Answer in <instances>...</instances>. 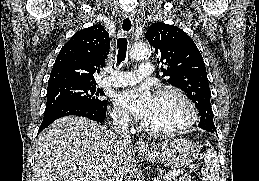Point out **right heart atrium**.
Masks as SVG:
<instances>
[{"mask_svg": "<svg viewBox=\"0 0 259 181\" xmlns=\"http://www.w3.org/2000/svg\"><path fill=\"white\" fill-rule=\"evenodd\" d=\"M113 119L116 124L124 127L129 126L131 123L130 117L120 110H115L113 112Z\"/></svg>", "mask_w": 259, "mask_h": 181, "instance_id": "obj_1", "label": "right heart atrium"}]
</instances>
